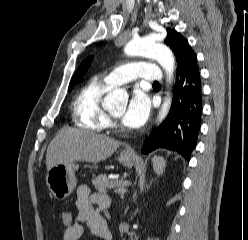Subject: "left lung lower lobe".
<instances>
[{
    "label": "left lung lower lobe",
    "mask_w": 248,
    "mask_h": 240,
    "mask_svg": "<svg viewBox=\"0 0 248 240\" xmlns=\"http://www.w3.org/2000/svg\"><path fill=\"white\" fill-rule=\"evenodd\" d=\"M173 96L167 118L145 141L142 153L166 148L189 161L197 145L202 115V87L196 54L177 72Z\"/></svg>",
    "instance_id": "1"
}]
</instances>
